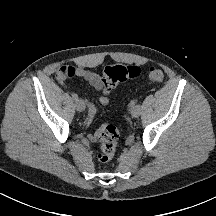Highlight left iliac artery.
Here are the masks:
<instances>
[{
	"label": "left iliac artery",
	"mask_w": 216,
	"mask_h": 216,
	"mask_svg": "<svg viewBox=\"0 0 216 216\" xmlns=\"http://www.w3.org/2000/svg\"><path fill=\"white\" fill-rule=\"evenodd\" d=\"M136 103H137V100H132L129 105H130V107H134L136 105Z\"/></svg>",
	"instance_id": "obj_1"
}]
</instances>
